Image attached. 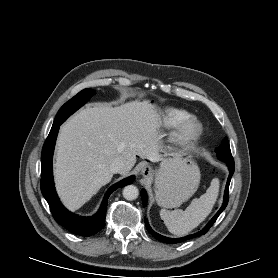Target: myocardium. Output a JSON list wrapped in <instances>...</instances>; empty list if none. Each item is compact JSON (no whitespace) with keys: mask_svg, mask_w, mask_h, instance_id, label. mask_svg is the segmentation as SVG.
<instances>
[{"mask_svg":"<svg viewBox=\"0 0 278 278\" xmlns=\"http://www.w3.org/2000/svg\"><path fill=\"white\" fill-rule=\"evenodd\" d=\"M203 133L201 122L191 116L184 120L173 134V142L182 148H190L196 144Z\"/></svg>","mask_w":278,"mask_h":278,"instance_id":"obj_1","label":"myocardium"}]
</instances>
